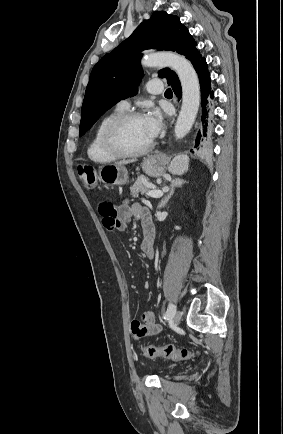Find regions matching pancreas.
Listing matches in <instances>:
<instances>
[{
    "mask_svg": "<svg viewBox=\"0 0 283 434\" xmlns=\"http://www.w3.org/2000/svg\"><path fill=\"white\" fill-rule=\"evenodd\" d=\"M149 181L144 176H139L136 182L130 187L132 197H137L139 193H147L149 190Z\"/></svg>",
    "mask_w": 283,
    "mask_h": 434,
    "instance_id": "1",
    "label": "pancreas"
}]
</instances>
